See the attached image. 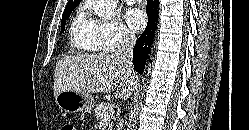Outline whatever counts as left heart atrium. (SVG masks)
Instances as JSON below:
<instances>
[{"mask_svg":"<svg viewBox=\"0 0 249 130\" xmlns=\"http://www.w3.org/2000/svg\"><path fill=\"white\" fill-rule=\"evenodd\" d=\"M125 19L129 28L134 32L144 29L147 23L146 13L140 8H130L125 13Z\"/></svg>","mask_w":249,"mask_h":130,"instance_id":"left-heart-atrium-1","label":"left heart atrium"}]
</instances>
